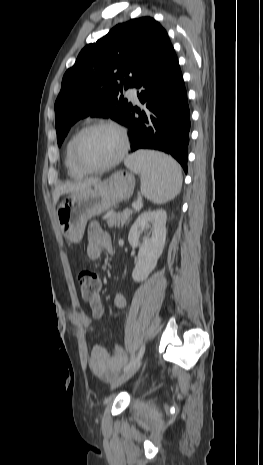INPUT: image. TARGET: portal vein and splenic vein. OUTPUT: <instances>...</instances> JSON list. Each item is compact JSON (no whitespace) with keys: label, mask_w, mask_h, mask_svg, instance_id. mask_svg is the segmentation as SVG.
Wrapping results in <instances>:
<instances>
[{"label":"portal vein and splenic vein","mask_w":263,"mask_h":465,"mask_svg":"<svg viewBox=\"0 0 263 465\" xmlns=\"http://www.w3.org/2000/svg\"><path fill=\"white\" fill-rule=\"evenodd\" d=\"M132 208L135 210H140L142 208V202L141 201L133 202Z\"/></svg>","instance_id":"1"}]
</instances>
